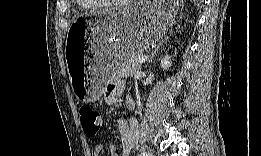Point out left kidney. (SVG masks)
<instances>
[{"mask_svg": "<svg viewBox=\"0 0 261 156\" xmlns=\"http://www.w3.org/2000/svg\"><path fill=\"white\" fill-rule=\"evenodd\" d=\"M161 68L163 70H167L169 67L172 65V60L169 55H166L162 60H161Z\"/></svg>", "mask_w": 261, "mask_h": 156, "instance_id": "left-kidney-1", "label": "left kidney"}]
</instances>
